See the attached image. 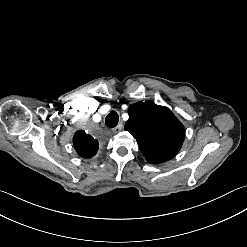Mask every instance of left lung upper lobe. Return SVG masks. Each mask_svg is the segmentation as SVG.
<instances>
[{"instance_id": "obj_1", "label": "left lung upper lobe", "mask_w": 247, "mask_h": 247, "mask_svg": "<svg viewBox=\"0 0 247 247\" xmlns=\"http://www.w3.org/2000/svg\"><path fill=\"white\" fill-rule=\"evenodd\" d=\"M128 114L125 130L137 140L150 163L165 162L178 153L185 138V129L169 108L139 102L129 107Z\"/></svg>"}]
</instances>
